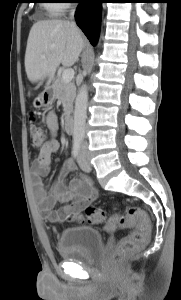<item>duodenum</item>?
<instances>
[{"mask_svg": "<svg viewBox=\"0 0 181 300\" xmlns=\"http://www.w3.org/2000/svg\"><path fill=\"white\" fill-rule=\"evenodd\" d=\"M47 93H49V90H47ZM65 130L69 134L74 131V118L70 113L65 116Z\"/></svg>", "mask_w": 181, "mask_h": 300, "instance_id": "1", "label": "duodenum"}]
</instances>
